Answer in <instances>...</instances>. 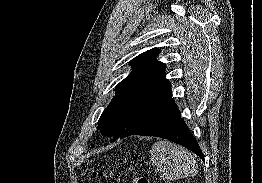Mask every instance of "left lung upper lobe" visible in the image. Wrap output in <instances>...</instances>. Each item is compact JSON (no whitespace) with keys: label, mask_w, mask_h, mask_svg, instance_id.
<instances>
[{"label":"left lung upper lobe","mask_w":262,"mask_h":183,"mask_svg":"<svg viewBox=\"0 0 262 183\" xmlns=\"http://www.w3.org/2000/svg\"><path fill=\"white\" fill-rule=\"evenodd\" d=\"M159 49L153 48L130 64L133 71L116 87V94L99 118L97 129L105 136H130L140 130L153 113L169 98L171 85L165 78V64L154 60Z\"/></svg>","instance_id":"5c2ea615"}]
</instances>
